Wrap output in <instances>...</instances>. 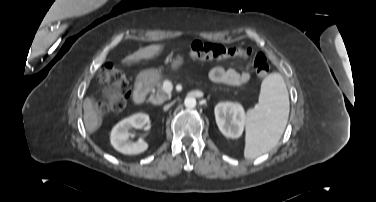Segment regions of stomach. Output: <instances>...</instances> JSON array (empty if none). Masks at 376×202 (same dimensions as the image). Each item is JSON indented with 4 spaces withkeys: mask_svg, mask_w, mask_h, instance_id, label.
Instances as JSON below:
<instances>
[{
    "mask_svg": "<svg viewBox=\"0 0 376 202\" xmlns=\"http://www.w3.org/2000/svg\"><path fill=\"white\" fill-rule=\"evenodd\" d=\"M184 63V58L181 56H177L176 59L172 62V68L178 69ZM139 76L146 82H151L160 76V72L157 69H147L143 70Z\"/></svg>",
    "mask_w": 376,
    "mask_h": 202,
    "instance_id": "obj_1",
    "label": "stomach"
}]
</instances>
